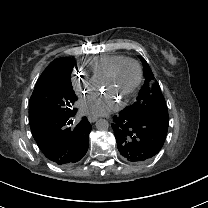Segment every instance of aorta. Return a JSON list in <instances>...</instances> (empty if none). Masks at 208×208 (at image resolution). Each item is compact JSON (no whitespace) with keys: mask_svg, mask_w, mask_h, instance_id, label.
Returning a JSON list of instances; mask_svg holds the SVG:
<instances>
[{"mask_svg":"<svg viewBox=\"0 0 208 208\" xmlns=\"http://www.w3.org/2000/svg\"><path fill=\"white\" fill-rule=\"evenodd\" d=\"M95 127L98 130H107L108 127H109V123L105 119H99V120L96 121Z\"/></svg>","mask_w":208,"mask_h":208,"instance_id":"obj_1","label":"aorta"}]
</instances>
